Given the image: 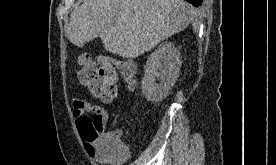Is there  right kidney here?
<instances>
[{"mask_svg": "<svg viewBox=\"0 0 276 165\" xmlns=\"http://www.w3.org/2000/svg\"><path fill=\"white\" fill-rule=\"evenodd\" d=\"M181 54L172 42L162 43L148 58L141 90L145 98L154 103L162 101L175 84L180 67ZM158 78L159 83H156Z\"/></svg>", "mask_w": 276, "mask_h": 165, "instance_id": "right-kidney-1", "label": "right kidney"}]
</instances>
